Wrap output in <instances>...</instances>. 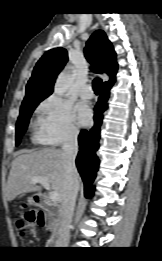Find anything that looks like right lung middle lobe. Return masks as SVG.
Here are the masks:
<instances>
[{
  "instance_id": "obj_1",
  "label": "right lung middle lobe",
  "mask_w": 162,
  "mask_h": 261,
  "mask_svg": "<svg viewBox=\"0 0 162 261\" xmlns=\"http://www.w3.org/2000/svg\"><path fill=\"white\" fill-rule=\"evenodd\" d=\"M46 97L47 96L35 97V98L23 100L21 104L20 115L18 117L17 124H16V145H19L20 138L22 137V135L27 129L32 112L34 111L36 106Z\"/></svg>"
}]
</instances>
